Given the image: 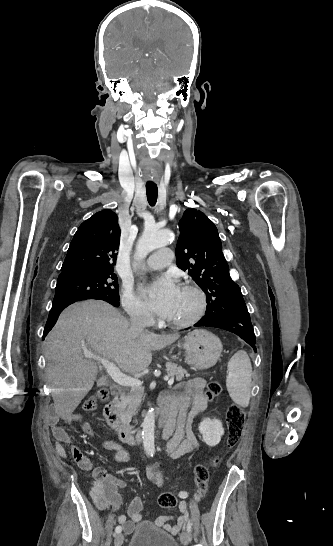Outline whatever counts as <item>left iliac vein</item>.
Here are the masks:
<instances>
[{
    "label": "left iliac vein",
    "mask_w": 333,
    "mask_h": 546,
    "mask_svg": "<svg viewBox=\"0 0 333 546\" xmlns=\"http://www.w3.org/2000/svg\"><path fill=\"white\" fill-rule=\"evenodd\" d=\"M181 542L184 546H187L189 542L191 541V535L188 531L182 532L181 536Z\"/></svg>",
    "instance_id": "4c4485c4"
}]
</instances>
